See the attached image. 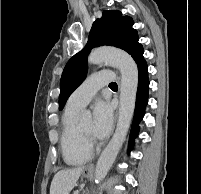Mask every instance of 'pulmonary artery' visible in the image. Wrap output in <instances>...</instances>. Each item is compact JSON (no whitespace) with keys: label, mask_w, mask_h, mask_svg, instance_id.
<instances>
[{"label":"pulmonary artery","mask_w":201,"mask_h":194,"mask_svg":"<svg viewBox=\"0 0 201 194\" xmlns=\"http://www.w3.org/2000/svg\"><path fill=\"white\" fill-rule=\"evenodd\" d=\"M111 71H101L88 76L84 82L70 95L67 105L74 108L86 106L97 91L115 80Z\"/></svg>","instance_id":"pulmonary-artery-1"}]
</instances>
